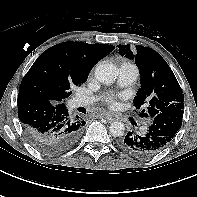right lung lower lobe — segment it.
I'll return each instance as SVG.
<instances>
[{
    "label": "right lung lower lobe",
    "instance_id": "98d812e1",
    "mask_svg": "<svg viewBox=\"0 0 197 197\" xmlns=\"http://www.w3.org/2000/svg\"><path fill=\"white\" fill-rule=\"evenodd\" d=\"M17 103L25 133L42 151L58 154L79 141L85 121L71 117L64 103L54 104L26 90L19 91Z\"/></svg>",
    "mask_w": 197,
    "mask_h": 197
}]
</instances>
